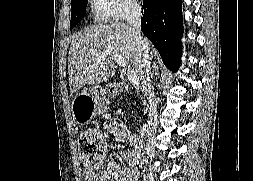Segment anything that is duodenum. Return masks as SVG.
<instances>
[{"label":"duodenum","mask_w":253,"mask_h":181,"mask_svg":"<svg viewBox=\"0 0 253 181\" xmlns=\"http://www.w3.org/2000/svg\"><path fill=\"white\" fill-rule=\"evenodd\" d=\"M113 91V90H112ZM143 134L147 133V129H143L142 131Z\"/></svg>","instance_id":"obj_1"}]
</instances>
